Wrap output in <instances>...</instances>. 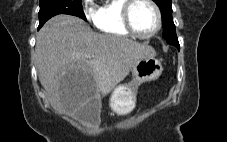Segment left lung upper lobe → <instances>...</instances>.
Instances as JSON below:
<instances>
[{
	"mask_svg": "<svg viewBox=\"0 0 227 142\" xmlns=\"http://www.w3.org/2000/svg\"><path fill=\"white\" fill-rule=\"evenodd\" d=\"M161 10L163 22V38L167 43L180 48L178 38L176 35L175 25L172 19V0H154Z\"/></svg>",
	"mask_w": 227,
	"mask_h": 142,
	"instance_id": "5c2ea615",
	"label": "left lung upper lobe"
}]
</instances>
